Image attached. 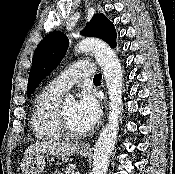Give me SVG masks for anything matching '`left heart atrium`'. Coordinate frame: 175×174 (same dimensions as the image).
Listing matches in <instances>:
<instances>
[{
  "mask_svg": "<svg viewBox=\"0 0 175 174\" xmlns=\"http://www.w3.org/2000/svg\"><path fill=\"white\" fill-rule=\"evenodd\" d=\"M76 114L86 130L92 128L98 122L101 116V108L99 101L93 93L90 91L81 93L76 103Z\"/></svg>",
  "mask_w": 175,
  "mask_h": 174,
  "instance_id": "obj_1",
  "label": "left heart atrium"
}]
</instances>
